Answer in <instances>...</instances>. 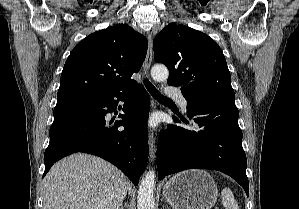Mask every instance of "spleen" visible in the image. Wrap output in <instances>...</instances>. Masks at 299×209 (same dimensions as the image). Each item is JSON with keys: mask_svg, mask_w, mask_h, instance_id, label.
<instances>
[{"mask_svg": "<svg viewBox=\"0 0 299 209\" xmlns=\"http://www.w3.org/2000/svg\"><path fill=\"white\" fill-rule=\"evenodd\" d=\"M222 204L226 209H239L237 201L229 188H224L221 192Z\"/></svg>", "mask_w": 299, "mask_h": 209, "instance_id": "obj_1", "label": "spleen"}]
</instances>
